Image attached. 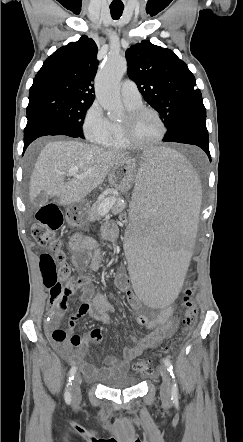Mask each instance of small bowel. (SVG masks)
<instances>
[{
	"instance_id": "obj_1",
	"label": "small bowel",
	"mask_w": 243,
	"mask_h": 442,
	"mask_svg": "<svg viewBox=\"0 0 243 442\" xmlns=\"http://www.w3.org/2000/svg\"><path fill=\"white\" fill-rule=\"evenodd\" d=\"M102 235L106 240L114 239L117 235L116 226L111 223L104 225ZM69 245L72 251V261L77 269L81 270L89 267L91 271H97L100 268L104 251L96 239L83 233H76L71 237ZM80 282L82 285L80 306L68 322L69 331L72 333L71 337L65 341H53L59 346L61 353L68 357L72 363L80 364L83 372L90 378L101 380L114 374L127 372L134 358L139 357L146 350L156 348L174 332L176 324L173 319V309L166 307L151 318L145 316L136 317V323L145 327L147 333L141 338L130 335L133 346L125 347L121 357L106 356L101 366L94 364L89 357L84 359L83 357L88 349V339L99 343L102 340V333L99 328H94L88 337H83L74 332L77 322L85 316L107 322L110 315L115 312L116 307L103 294L90 286L92 283L90 278H82ZM115 284L118 289L127 294L131 306H139L140 299L138 296H134L130 288L129 277L126 274L118 273L115 278ZM66 307V304H64L48 310L44 324L51 334L55 329L59 328L60 318Z\"/></svg>"
}]
</instances>
